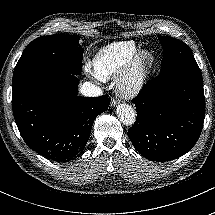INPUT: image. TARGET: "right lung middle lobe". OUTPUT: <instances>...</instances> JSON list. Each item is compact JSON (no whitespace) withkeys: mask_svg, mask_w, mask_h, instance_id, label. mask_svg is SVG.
<instances>
[{"mask_svg":"<svg viewBox=\"0 0 215 215\" xmlns=\"http://www.w3.org/2000/svg\"><path fill=\"white\" fill-rule=\"evenodd\" d=\"M79 36L54 34L32 41L22 53L13 72V79L27 72L53 70L79 75L83 49Z\"/></svg>","mask_w":215,"mask_h":215,"instance_id":"right-lung-middle-lobe-1","label":"right lung middle lobe"}]
</instances>
